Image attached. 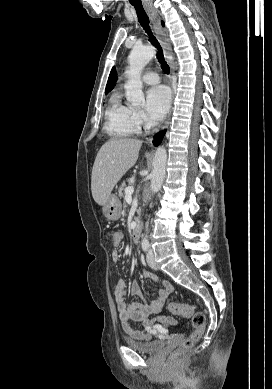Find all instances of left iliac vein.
Here are the masks:
<instances>
[{
	"label": "left iliac vein",
	"mask_w": 272,
	"mask_h": 389,
	"mask_svg": "<svg viewBox=\"0 0 272 389\" xmlns=\"http://www.w3.org/2000/svg\"><path fill=\"white\" fill-rule=\"evenodd\" d=\"M147 263L148 265L154 269V270H157L158 269V265L155 261V257H154V252L153 250H149L148 253H147Z\"/></svg>",
	"instance_id": "1"
}]
</instances>
